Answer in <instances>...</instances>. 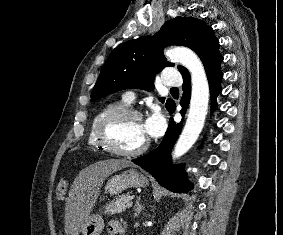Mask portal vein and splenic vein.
<instances>
[{
	"instance_id": "obj_1",
	"label": "portal vein and splenic vein",
	"mask_w": 283,
	"mask_h": 235,
	"mask_svg": "<svg viewBox=\"0 0 283 235\" xmlns=\"http://www.w3.org/2000/svg\"><path fill=\"white\" fill-rule=\"evenodd\" d=\"M132 202H129L128 204H127V208H130L131 206H132Z\"/></svg>"
}]
</instances>
